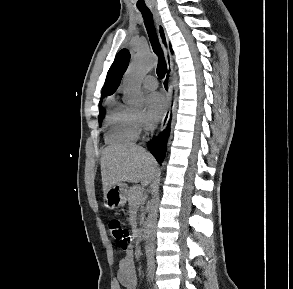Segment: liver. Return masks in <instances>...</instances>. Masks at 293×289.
<instances>
[{"label": "liver", "instance_id": "liver-1", "mask_svg": "<svg viewBox=\"0 0 293 289\" xmlns=\"http://www.w3.org/2000/svg\"><path fill=\"white\" fill-rule=\"evenodd\" d=\"M157 163L143 147L133 143L107 146L101 154L104 193L120 182L147 186L156 175Z\"/></svg>", "mask_w": 293, "mask_h": 289}]
</instances>
